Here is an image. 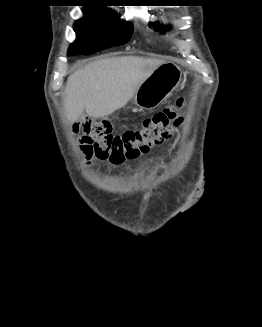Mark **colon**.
Here are the masks:
<instances>
[{
	"label": "colon",
	"instance_id": "5ec220e1",
	"mask_svg": "<svg viewBox=\"0 0 262 327\" xmlns=\"http://www.w3.org/2000/svg\"><path fill=\"white\" fill-rule=\"evenodd\" d=\"M185 99L178 98L153 116L146 118L141 128L120 134L112 132L107 119L86 118L78 128L83 132L80 149L88 157L121 164L147 153L153 146L169 139L182 120Z\"/></svg>",
	"mask_w": 262,
	"mask_h": 327
}]
</instances>
